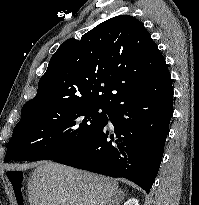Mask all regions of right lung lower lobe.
Listing matches in <instances>:
<instances>
[{"label":"right lung lower lobe","instance_id":"obj_1","mask_svg":"<svg viewBox=\"0 0 199 205\" xmlns=\"http://www.w3.org/2000/svg\"><path fill=\"white\" fill-rule=\"evenodd\" d=\"M142 83L139 92L108 108L105 125L85 144L54 161L126 178L149 193L160 167L173 114V88L170 73L154 80L146 78ZM108 119L115 135L106 128Z\"/></svg>","mask_w":199,"mask_h":205}]
</instances>
